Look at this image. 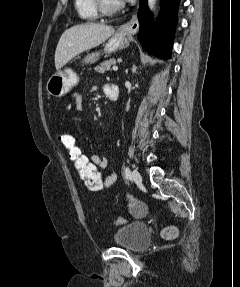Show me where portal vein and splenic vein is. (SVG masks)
<instances>
[{
    "mask_svg": "<svg viewBox=\"0 0 240 287\" xmlns=\"http://www.w3.org/2000/svg\"><path fill=\"white\" fill-rule=\"evenodd\" d=\"M112 69L113 71H118V66H113Z\"/></svg>",
    "mask_w": 240,
    "mask_h": 287,
    "instance_id": "portal-vein-and-splenic-vein-1",
    "label": "portal vein and splenic vein"
}]
</instances>
